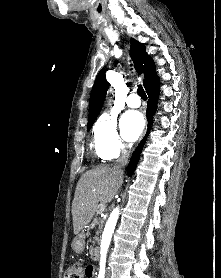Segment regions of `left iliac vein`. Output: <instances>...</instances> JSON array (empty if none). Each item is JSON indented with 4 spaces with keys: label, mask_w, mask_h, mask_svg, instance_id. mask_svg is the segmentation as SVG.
Instances as JSON below:
<instances>
[{
    "label": "left iliac vein",
    "mask_w": 221,
    "mask_h": 278,
    "mask_svg": "<svg viewBox=\"0 0 221 278\" xmlns=\"http://www.w3.org/2000/svg\"><path fill=\"white\" fill-rule=\"evenodd\" d=\"M106 278H110V274H107V275H106Z\"/></svg>",
    "instance_id": "4c4485c4"
}]
</instances>
